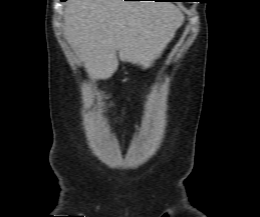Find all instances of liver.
I'll list each match as a JSON object with an SVG mask.
<instances>
[{"mask_svg":"<svg viewBox=\"0 0 260 217\" xmlns=\"http://www.w3.org/2000/svg\"><path fill=\"white\" fill-rule=\"evenodd\" d=\"M184 19L168 2L69 0L64 36L92 79H107L123 62L150 67Z\"/></svg>","mask_w":260,"mask_h":217,"instance_id":"obj_1","label":"liver"}]
</instances>
